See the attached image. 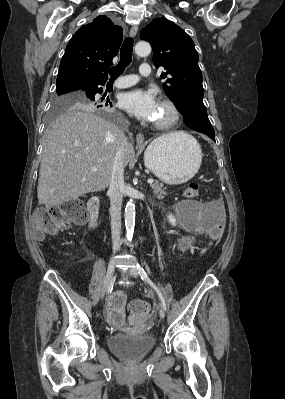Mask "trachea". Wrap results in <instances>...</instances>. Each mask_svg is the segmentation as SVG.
Instances as JSON below:
<instances>
[{
  "mask_svg": "<svg viewBox=\"0 0 285 399\" xmlns=\"http://www.w3.org/2000/svg\"><path fill=\"white\" fill-rule=\"evenodd\" d=\"M133 39L126 38L121 47V59L117 66L109 70L111 80L118 78L132 61Z\"/></svg>",
  "mask_w": 285,
  "mask_h": 399,
  "instance_id": "obj_1",
  "label": "trachea"
}]
</instances>
